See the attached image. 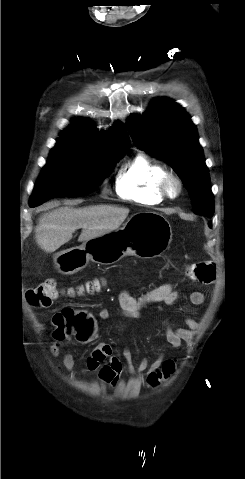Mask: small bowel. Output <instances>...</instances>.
<instances>
[{
  "instance_id": "small-bowel-1",
  "label": "small bowel",
  "mask_w": 245,
  "mask_h": 479,
  "mask_svg": "<svg viewBox=\"0 0 245 479\" xmlns=\"http://www.w3.org/2000/svg\"><path fill=\"white\" fill-rule=\"evenodd\" d=\"M204 294L200 291L192 292L188 300L192 305L198 306L204 303ZM179 300V292L170 282L162 284L140 297H135L128 291H122L118 296V308L121 316L126 318L138 319L141 317L142 310L151 303H164L167 305H174ZM98 316L102 320H108L111 313L106 308H100ZM88 322L82 330L83 334L94 335L97 332L96 321L88 314ZM186 327L172 328L168 323L165 324V338L167 346L170 349L180 347L182 342L190 338L191 333L199 327V322L194 318H187L185 320ZM64 346V340L54 339L50 346V354L52 357H57ZM126 361V367L130 374L139 373L143 377L148 378L151 373L161 370L164 362V354L159 353L156 359L149 363L146 358H143L137 366L132 363L131 353L128 349L123 352ZM63 367L71 373H75V359L71 353L63 356ZM123 370L121 360L113 354L112 346L108 343H101L93 349L87 356L86 366L82 372H96L98 379L111 386L116 387L120 382V376Z\"/></svg>"
}]
</instances>
